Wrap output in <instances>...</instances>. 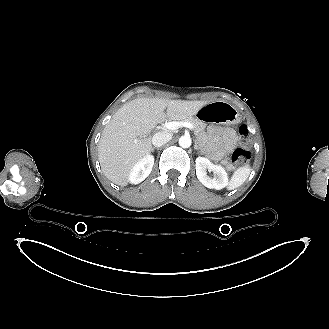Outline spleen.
<instances>
[{
	"label": "spleen",
	"mask_w": 329,
	"mask_h": 329,
	"mask_svg": "<svg viewBox=\"0 0 329 329\" xmlns=\"http://www.w3.org/2000/svg\"><path fill=\"white\" fill-rule=\"evenodd\" d=\"M250 172L251 169L248 166L240 167L237 169L231 177L228 189L233 190L241 186L249 177Z\"/></svg>",
	"instance_id": "obj_1"
}]
</instances>
